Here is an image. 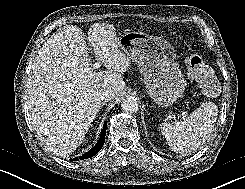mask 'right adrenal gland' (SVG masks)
Masks as SVG:
<instances>
[{
    "instance_id": "2a0ac1e0",
    "label": "right adrenal gland",
    "mask_w": 245,
    "mask_h": 189,
    "mask_svg": "<svg viewBox=\"0 0 245 189\" xmlns=\"http://www.w3.org/2000/svg\"><path fill=\"white\" fill-rule=\"evenodd\" d=\"M104 105H105V103H103L101 107H103Z\"/></svg>"
}]
</instances>
